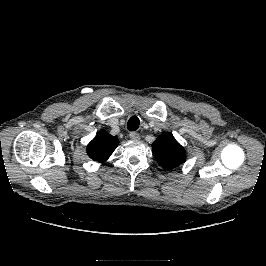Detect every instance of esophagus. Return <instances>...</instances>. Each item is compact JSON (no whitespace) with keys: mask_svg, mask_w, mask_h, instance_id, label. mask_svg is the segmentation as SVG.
<instances>
[{"mask_svg":"<svg viewBox=\"0 0 266 266\" xmlns=\"http://www.w3.org/2000/svg\"><path fill=\"white\" fill-rule=\"evenodd\" d=\"M129 137L132 140H139L140 139V135L138 133H136V132H130Z\"/></svg>","mask_w":266,"mask_h":266,"instance_id":"obj_1","label":"esophagus"}]
</instances>
